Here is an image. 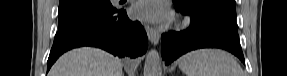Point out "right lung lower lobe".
I'll list each match as a JSON object with an SVG mask.
<instances>
[{"label":"right lung lower lobe","instance_id":"1","mask_svg":"<svg viewBox=\"0 0 287 76\" xmlns=\"http://www.w3.org/2000/svg\"><path fill=\"white\" fill-rule=\"evenodd\" d=\"M80 46L99 47L120 58H136L146 52L148 40L140 22L129 20L126 11L114 9L60 28L54 38L47 70L61 54Z\"/></svg>","mask_w":287,"mask_h":76}]
</instances>
